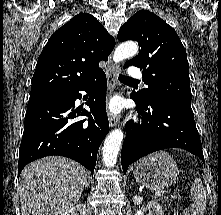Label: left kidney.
I'll list each match as a JSON object with an SVG mask.
<instances>
[{
    "instance_id": "5707ae66",
    "label": "left kidney",
    "mask_w": 221,
    "mask_h": 215,
    "mask_svg": "<svg viewBox=\"0 0 221 215\" xmlns=\"http://www.w3.org/2000/svg\"><path fill=\"white\" fill-rule=\"evenodd\" d=\"M143 198L140 196H134L133 202L135 205H140L142 203ZM149 209V215H164L162 207L155 201H150L147 204Z\"/></svg>"
}]
</instances>
